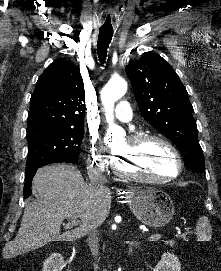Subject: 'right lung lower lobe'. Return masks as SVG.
Masks as SVG:
<instances>
[{
	"instance_id": "1",
	"label": "right lung lower lobe",
	"mask_w": 221,
	"mask_h": 271,
	"mask_svg": "<svg viewBox=\"0 0 221 271\" xmlns=\"http://www.w3.org/2000/svg\"><path fill=\"white\" fill-rule=\"evenodd\" d=\"M38 168L39 167L28 168L25 171V184H24V197L25 198H27L32 193L31 182H32L33 176L35 175Z\"/></svg>"
}]
</instances>
